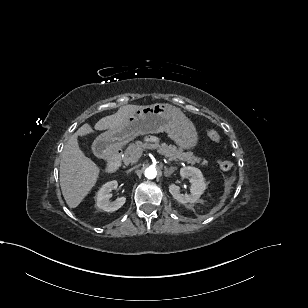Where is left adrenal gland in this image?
I'll return each mask as SVG.
<instances>
[{
    "instance_id": "a2214340",
    "label": "left adrenal gland",
    "mask_w": 308,
    "mask_h": 308,
    "mask_svg": "<svg viewBox=\"0 0 308 308\" xmlns=\"http://www.w3.org/2000/svg\"><path fill=\"white\" fill-rule=\"evenodd\" d=\"M174 170H175L174 167H170V168L164 167V175L165 176H170L174 172Z\"/></svg>"
}]
</instances>
